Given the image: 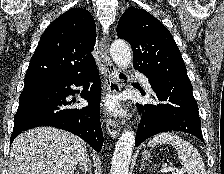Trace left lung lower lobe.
<instances>
[{
    "label": "left lung lower lobe",
    "instance_id": "0a47b994",
    "mask_svg": "<svg viewBox=\"0 0 224 174\" xmlns=\"http://www.w3.org/2000/svg\"><path fill=\"white\" fill-rule=\"evenodd\" d=\"M155 92V104H137L141 112L135 146L151 136L166 131H183L195 135L204 142L197 102L191 83L149 79Z\"/></svg>",
    "mask_w": 224,
    "mask_h": 174
}]
</instances>
